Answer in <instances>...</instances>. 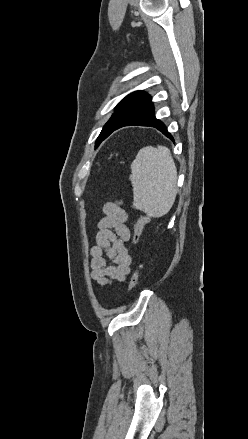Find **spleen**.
<instances>
[{
  "label": "spleen",
  "instance_id": "1",
  "mask_svg": "<svg viewBox=\"0 0 248 439\" xmlns=\"http://www.w3.org/2000/svg\"><path fill=\"white\" fill-rule=\"evenodd\" d=\"M133 207L158 218L172 208L177 194V168L165 146H147L131 164Z\"/></svg>",
  "mask_w": 248,
  "mask_h": 439
}]
</instances>
